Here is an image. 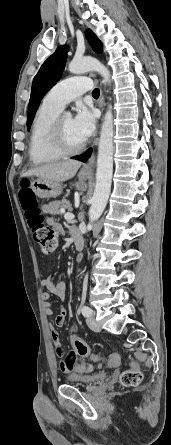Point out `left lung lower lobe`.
Instances as JSON below:
<instances>
[{
  "instance_id": "0a47b994",
  "label": "left lung lower lobe",
  "mask_w": 171,
  "mask_h": 445,
  "mask_svg": "<svg viewBox=\"0 0 171 445\" xmlns=\"http://www.w3.org/2000/svg\"><path fill=\"white\" fill-rule=\"evenodd\" d=\"M91 153H92V148H90L85 153H83L79 156L73 157V159H77V160L85 162L90 157Z\"/></svg>"
}]
</instances>
